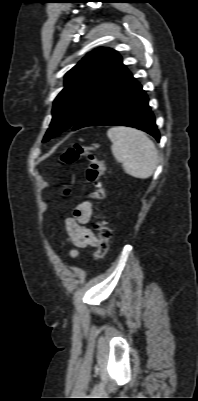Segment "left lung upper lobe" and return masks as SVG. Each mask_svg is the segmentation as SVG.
<instances>
[{"label":"left lung upper lobe","instance_id":"left-lung-upper-lobe-1","mask_svg":"<svg viewBox=\"0 0 198 401\" xmlns=\"http://www.w3.org/2000/svg\"><path fill=\"white\" fill-rule=\"evenodd\" d=\"M123 66L117 51L98 48L68 71L65 75V87L54 100L53 118L43 142L71 128Z\"/></svg>","mask_w":198,"mask_h":401}]
</instances>
